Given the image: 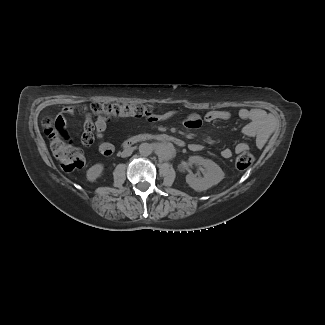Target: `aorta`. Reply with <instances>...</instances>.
I'll return each mask as SVG.
<instances>
[{
	"mask_svg": "<svg viewBox=\"0 0 325 325\" xmlns=\"http://www.w3.org/2000/svg\"><path fill=\"white\" fill-rule=\"evenodd\" d=\"M139 152L142 156H149L153 152V147L149 143H142L139 146Z\"/></svg>",
	"mask_w": 325,
	"mask_h": 325,
	"instance_id": "aorta-1",
	"label": "aorta"
}]
</instances>
